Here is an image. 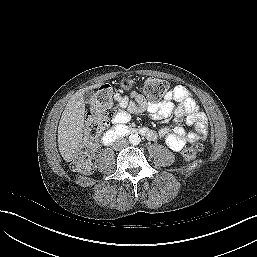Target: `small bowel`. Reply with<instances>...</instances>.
Instances as JSON below:
<instances>
[{
  "label": "small bowel",
  "instance_id": "obj_1",
  "mask_svg": "<svg viewBox=\"0 0 257 257\" xmlns=\"http://www.w3.org/2000/svg\"><path fill=\"white\" fill-rule=\"evenodd\" d=\"M130 97L132 101L126 96H116L117 110L112 118L115 126L127 124L132 112H141L145 109L162 118H167L174 113L175 125L172 131L162 129L159 131V135L175 151L181 150L186 143L193 142L198 137L196 133L187 132L180 124L183 118L187 124L194 125L198 133H206V116L200 111L190 92L182 85L173 87L166 94L164 101L159 103H148L144 96L137 92H132ZM174 102L178 103L176 108H174ZM156 136L155 132L149 133L150 139H154Z\"/></svg>",
  "mask_w": 257,
  "mask_h": 257
}]
</instances>
